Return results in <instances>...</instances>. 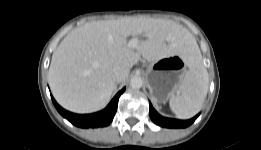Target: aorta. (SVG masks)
<instances>
[{
  "label": "aorta",
  "instance_id": "obj_1",
  "mask_svg": "<svg viewBox=\"0 0 261 150\" xmlns=\"http://www.w3.org/2000/svg\"><path fill=\"white\" fill-rule=\"evenodd\" d=\"M143 85V79L140 76H134L130 80V86L134 89H139Z\"/></svg>",
  "mask_w": 261,
  "mask_h": 150
}]
</instances>
